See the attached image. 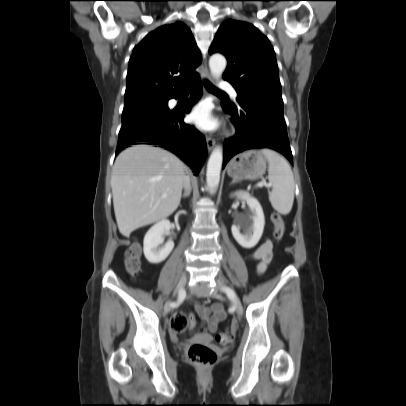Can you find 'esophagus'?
I'll use <instances>...</instances> for the list:
<instances>
[{
  "label": "esophagus",
  "instance_id": "1",
  "mask_svg": "<svg viewBox=\"0 0 406 406\" xmlns=\"http://www.w3.org/2000/svg\"><path fill=\"white\" fill-rule=\"evenodd\" d=\"M211 79H212V77H211L210 72L207 69V65H206V61H205V73L203 74V80L207 81V80H211ZM206 143H207L208 151H211L215 146V140L211 137H206Z\"/></svg>",
  "mask_w": 406,
  "mask_h": 406
}]
</instances>
